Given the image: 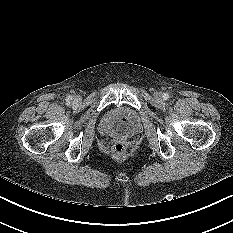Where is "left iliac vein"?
<instances>
[{
  "label": "left iliac vein",
  "mask_w": 233,
  "mask_h": 233,
  "mask_svg": "<svg viewBox=\"0 0 233 233\" xmlns=\"http://www.w3.org/2000/svg\"><path fill=\"white\" fill-rule=\"evenodd\" d=\"M155 97H156L158 100H162L163 94H162L161 92H157V93L155 94Z\"/></svg>",
  "instance_id": "left-iliac-vein-1"
}]
</instances>
